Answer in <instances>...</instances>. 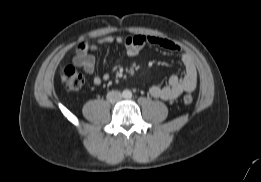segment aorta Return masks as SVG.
<instances>
[{
	"label": "aorta",
	"instance_id": "762f6f07",
	"mask_svg": "<svg viewBox=\"0 0 261 182\" xmlns=\"http://www.w3.org/2000/svg\"><path fill=\"white\" fill-rule=\"evenodd\" d=\"M131 96H132L131 91L126 90V91L123 92V97L124 98H131Z\"/></svg>",
	"mask_w": 261,
	"mask_h": 182
}]
</instances>
